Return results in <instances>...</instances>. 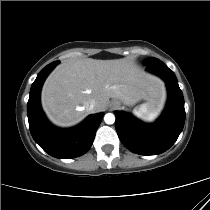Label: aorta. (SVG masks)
Here are the masks:
<instances>
[{
	"label": "aorta",
	"mask_w": 210,
	"mask_h": 210,
	"mask_svg": "<svg viewBox=\"0 0 210 210\" xmlns=\"http://www.w3.org/2000/svg\"><path fill=\"white\" fill-rule=\"evenodd\" d=\"M104 121L106 124H113L115 122V116L112 113H107L104 116Z\"/></svg>",
	"instance_id": "1"
}]
</instances>
